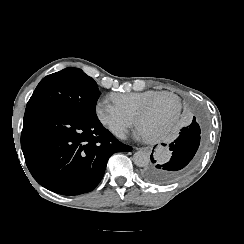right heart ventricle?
Masks as SVG:
<instances>
[{
    "instance_id": "e07e8e85",
    "label": "right heart ventricle",
    "mask_w": 244,
    "mask_h": 244,
    "mask_svg": "<svg viewBox=\"0 0 244 244\" xmlns=\"http://www.w3.org/2000/svg\"><path fill=\"white\" fill-rule=\"evenodd\" d=\"M162 93L160 91H144V92H135L132 94H120V93H110L107 96V99L117 105H121L127 108H131L139 117V112L141 111L142 104L153 98V95Z\"/></svg>"
}]
</instances>
